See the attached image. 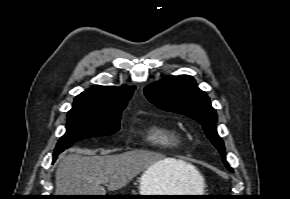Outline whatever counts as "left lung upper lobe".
<instances>
[{"label":"left lung upper lobe","mask_w":290,"mask_h":199,"mask_svg":"<svg viewBox=\"0 0 290 199\" xmlns=\"http://www.w3.org/2000/svg\"><path fill=\"white\" fill-rule=\"evenodd\" d=\"M150 102L165 111L184 114L198 121L204 131L222 155L226 167L233 172L226 161L225 147L216 131L217 114L211 106L207 94L197 87L193 77L181 75L167 76L144 89Z\"/></svg>","instance_id":"obj_1"}]
</instances>
